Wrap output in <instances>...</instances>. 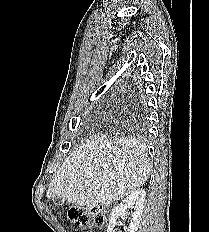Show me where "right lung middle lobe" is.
Segmentation results:
<instances>
[{
  "mask_svg": "<svg viewBox=\"0 0 209 232\" xmlns=\"http://www.w3.org/2000/svg\"><path fill=\"white\" fill-rule=\"evenodd\" d=\"M142 105L139 106L140 109V113L138 114V116L136 117V123L139 126H143L145 124V115L143 114L144 112V106L141 107Z\"/></svg>",
  "mask_w": 209,
  "mask_h": 232,
  "instance_id": "right-lung-middle-lobe-1",
  "label": "right lung middle lobe"
}]
</instances>
